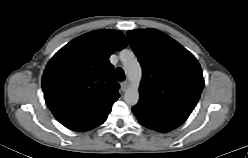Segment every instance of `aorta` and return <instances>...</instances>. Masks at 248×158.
Instances as JSON below:
<instances>
[{
	"label": "aorta",
	"mask_w": 248,
	"mask_h": 158,
	"mask_svg": "<svg viewBox=\"0 0 248 158\" xmlns=\"http://www.w3.org/2000/svg\"><path fill=\"white\" fill-rule=\"evenodd\" d=\"M124 72L130 81V86L124 94V101L128 105H136L139 101V84L142 78V69L134 53L125 50L121 53Z\"/></svg>",
	"instance_id": "aorta-1"
}]
</instances>
